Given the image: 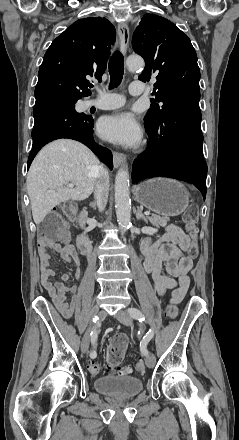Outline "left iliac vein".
I'll return each instance as SVG.
<instances>
[{
    "mask_svg": "<svg viewBox=\"0 0 239 440\" xmlns=\"http://www.w3.org/2000/svg\"><path fill=\"white\" fill-rule=\"evenodd\" d=\"M116 318L123 325L130 326L132 324L131 316L129 314H127L125 311L120 310L116 314ZM145 362L149 368H153L156 363V358H155L154 354H152V353L148 354L145 359Z\"/></svg>",
    "mask_w": 239,
    "mask_h": 440,
    "instance_id": "left-iliac-vein-1",
    "label": "left iliac vein"
}]
</instances>
